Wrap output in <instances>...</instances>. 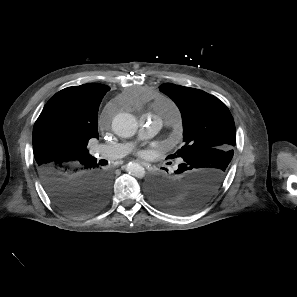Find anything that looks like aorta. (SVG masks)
Returning a JSON list of instances; mask_svg holds the SVG:
<instances>
[{"mask_svg": "<svg viewBox=\"0 0 297 297\" xmlns=\"http://www.w3.org/2000/svg\"><path fill=\"white\" fill-rule=\"evenodd\" d=\"M138 128L136 118L130 113H119L112 121V129L115 134L122 138H129L135 135ZM127 172L136 178L145 176V169L140 164L130 162L126 166Z\"/></svg>", "mask_w": 297, "mask_h": 297, "instance_id": "aorta-1", "label": "aorta"}]
</instances>
